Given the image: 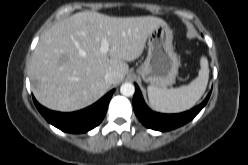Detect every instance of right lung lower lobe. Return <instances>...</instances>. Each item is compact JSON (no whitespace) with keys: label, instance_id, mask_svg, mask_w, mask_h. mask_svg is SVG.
Masks as SVG:
<instances>
[{"label":"right lung lower lobe","instance_id":"right-lung-lower-lobe-1","mask_svg":"<svg viewBox=\"0 0 248 165\" xmlns=\"http://www.w3.org/2000/svg\"><path fill=\"white\" fill-rule=\"evenodd\" d=\"M114 91H110L92 106L72 113L51 111L41 106L34 97L33 100L39 112L50 124L64 132L85 133L101 123Z\"/></svg>","mask_w":248,"mask_h":165}]
</instances>
